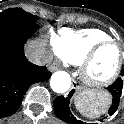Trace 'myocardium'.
Segmentation results:
<instances>
[{
	"instance_id": "myocardium-1",
	"label": "myocardium",
	"mask_w": 124,
	"mask_h": 124,
	"mask_svg": "<svg viewBox=\"0 0 124 124\" xmlns=\"http://www.w3.org/2000/svg\"><path fill=\"white\" fill-rule=\"evenodd\" d=\"M107 46H115L118 49L119 61H118L115 71L110 77L104 80L96 81L90 78L88 74V69H89L91 62L93 61L95 56L99 53V51ZM123 68H124V49L119 43L113 40H106V41L99 42L98 44L93 46L90 49V51L85 55V57L82 59V61L79 64V75L83 83L87 85L88 87H91L94 89H101V88H105L113 84L118 79Z\"/></svg>"
}]
</instances>
